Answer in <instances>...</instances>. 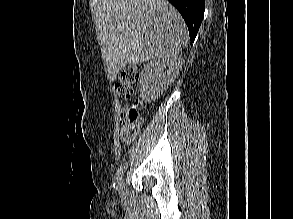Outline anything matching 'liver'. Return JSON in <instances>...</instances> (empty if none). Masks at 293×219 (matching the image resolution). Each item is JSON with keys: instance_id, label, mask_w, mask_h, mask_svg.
Listing matches in <instances>:
<instances>
[{"instance_id": "6515ba94", "label": "liver", "mask_w": 293, "mask_h": 219, "mask_svg": "<svg viewBox=\"0 0 293 219\" xmlns=\"http://www.w3.org/2000/svg\"><path fill=\"white\" fill-rule=\"evenodd\" d=\"M98 41L112 80L127 64L177 56L187 27L166 0H98Z\"/></svg>"}]
</instances>
